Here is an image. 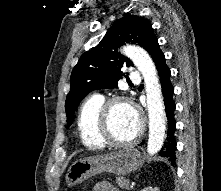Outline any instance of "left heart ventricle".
I'll return each instance as SVG.
<instances>
[{
    "mask_svg": "<svg viewBox=\"0 0 221 191\" xmlns=\"http://www.w3.org/2000/svg\"><path fill=\"white\" fill-rule=\"evenodd\" d=\"M136 113L125 105L116 106L111 114V131L117 140H128L138 128Z\"/></svg>",
    "mask_w": 221,
    "mask_h": 191,
    "instance_id": "obj_1",
    "label": "left heart ventricle"
}]
</instances>
